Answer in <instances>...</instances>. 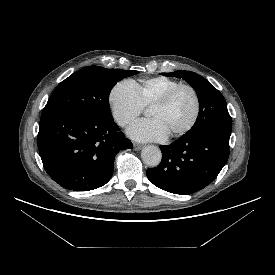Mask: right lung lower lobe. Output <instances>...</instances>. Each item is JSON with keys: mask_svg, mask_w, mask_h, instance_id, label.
Segmentation results:
<instances>
[{"mask_svg": "<svg viewBox=\"0 0 275 275\" xmlns=\"http://www.w3.org/2000/svg\"><path fill=\"white\" fill-rule=\"evenodd\" d=\"M117 124L84 111H43L38 149L44 169L62 187L89 191L105 185L120 150L132 148Z\"/></svg>", "mask_w": 275, "mask_h": 275, "instance_id": "obj_1", "label": "right lung lower lobe"}]
</instances>
